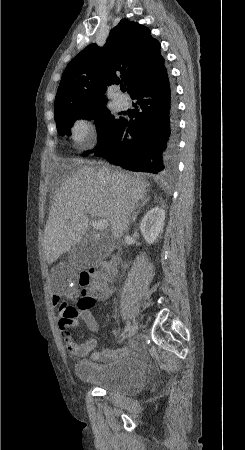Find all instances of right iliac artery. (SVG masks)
I'll return each mask as SVG.
<instances>
[{
    "instance_id": "right-iliac-artery-1",
    "label": "right iliac artery",
    "mask_w": 245,
    "mask_h": 450,
    "mask_svg": "<svg viewBox=\"0 0 245 450\" xmlns=\"http://www.w3.org/2000/svg\"><path fill=\"white\" fill-rule=\"evenodd\" d=\"M131 323H130V321H127V324H126V327H125V330H124V333H126L127 331H129V329H130V327H131V325H130Z\"/></svg>"
}]
</instances>
